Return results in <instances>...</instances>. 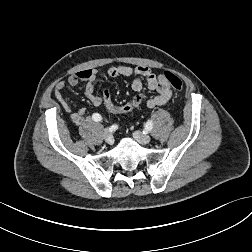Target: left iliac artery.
<instances>
[{
	"label": "left iliac artery",
	"mask_w": 252,
	"mask_h": 252,
	"mask_svg": "<svg viewBox=\"0 0 252 252\" xmlns=\"http://www.w3.org/2000/svg\"><path fill=\"white\" fill-rule=\"evenodd\" d=\"M152 128H153V123H152L151 120H148V121L146 122V124H145V129H146L147 131H151Z\"/></svg>",
	"instance_id": "obj_1"
}]
</instances>
